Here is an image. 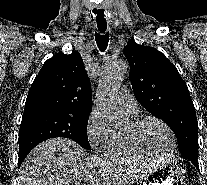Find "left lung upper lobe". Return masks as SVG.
I'll use <instances>...</instances> for the list:
<instances>
[{
  "label": "left lung upper lobe",
  "instance_id": "5c2ea615",
  "mask_svg": "<svg viewBox=\"0 0 207 185\" xmlns=\"http://www.w3.org/2000/svg\"><path fill=\"white\" fill-rule=\"evenodd\" d=\"M130 79L138 102L175 133L181 155L198 157V122L188 87L177 68L155 48L134 39L124 47Z\"/></svg>",
  "mask_w": 207,
  "mask_h": 185
}]
</instances>
